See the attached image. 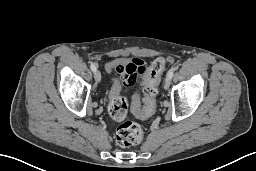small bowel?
I'll use <instances>...</instances> for the list:
<instances>
[{
  "label": "small bowel",
  "instance_id": "c3829d8e",
  "mask_svg": "<svg viewBox=\"0 0 256 171\" xmlns=\"http://www.w3.org/2000/svg\"><path fill=\"white\" fill-rule=\"evenodd\" d=\"M108 68L115 69L119 73L121 81L126 82L127 84H133L138 77L144 76L147 72L146 62L136 57L125 61H114L109 64ZM152 111L147 112V108H145L140 116L142 118H147Z\"/></svg>",
  "mask_w": 256,
  "mask_h": 171
}]
</instances>
